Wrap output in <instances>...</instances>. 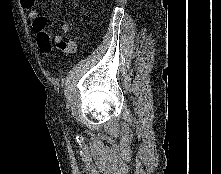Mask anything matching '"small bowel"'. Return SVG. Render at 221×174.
<instances>
[{"label": "small bowel", "instance_id": "obj_1", "mask_svg": "<svg viewBox=\"0 0 221 174\" xmlns=\"http://www.w3.org/2000/svg\"><path fill=\"white\" fill-rule=\"evenodd\" d=\"M21 3L29 19L33 21L34 31L38 35L40 50L49 54L52 49V43L54 46L63 52H72L75 49V43L73 41L67 40L65 34L70 30V25L64 23L61 25L62 34L55 35L52 39L50 35L45 31L46 28V18L39 15L36 10V0H21Z\"/></svg>", "mask_w": 221, "mask_h": 174}]
</instances>
